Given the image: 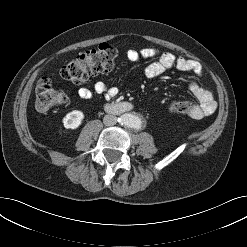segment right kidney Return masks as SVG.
<instances>
[{"label": "right kidney", "instance_id": "ca27d5eb", "mask_svg": "<svg viewBox=\"0 0 247 247\" xmlns=\"http://www.w3.org/2000/svg\"><path fill=\"white\" fill-rule=\"evenodd\" d=\"M83 119L84 114L82 111L73 110L63 118V124L67 129H76L81 125Z\"/></svg>", "mask_w": 247, "mask_h": 247}]
</instances>
